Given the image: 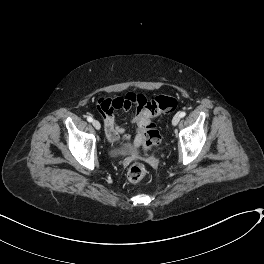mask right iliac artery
Returning a JSON list of instances; mask_svg holds the SVG:
<instances>
[{
    "mask_svg": "<svg viewBox=\"0 0 264 264\" xmlns=\"http://www.w3.org/2000/svg\"><path fill=\"white\" fill-rule=\"evenodd\" d=\"M87 121H88V122H92V121H93V118L90 117V116H88V117H87Z\"/></svg>",
    "mask_w": 264,
    "mask_h": 264,
    "instance_id": "82829eb1",
    "label": "right iliac artery"
}]
</instances>
